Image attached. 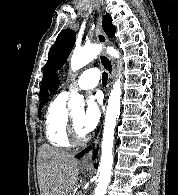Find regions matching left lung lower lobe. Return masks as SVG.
Masks as SVG:
<instances>
[{
    "label": "left lung lower lobe",
    "instance_id": "0a47b994",
    "mask_svg": "<svg viewBox=\"0 0 178 195\" xmlns=\"http://www.w3.org/2000/svg\"><path fill=\"white\" fill-rule=\"evenodd\" d=\"M90 149V147H88L87 149H85L84 151L80 152L79 154L76 155L77 158H81L84 156V154L86 152H88V150ZM97 156V150L94 151V155H93V159H95Z\"/></svg>",
    "mask_w": 178,
    "mask_h": 195
}]
</instances>
